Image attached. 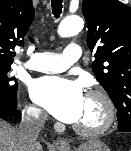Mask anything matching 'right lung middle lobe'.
Returning a JSON list of instances; mask_svg holds the SVG:
<instances>
[{"label":"right lung middle lobe","mask_w":131,"mask_h":151,"mask_svg":"<svg viewBox=\"0 0 131 151\" xmlns=\"http://www.w3.org/2000/svg\"><path fill=\"white\" fill-rule=\"evenodd\" d=\"M11 65H0V96L14 98L17 95L18 84L14 77L8 76Z\"/></svg>","instance_id":"1"}]
</instances>
